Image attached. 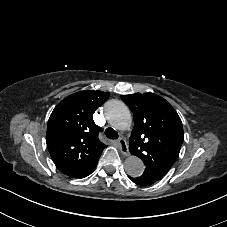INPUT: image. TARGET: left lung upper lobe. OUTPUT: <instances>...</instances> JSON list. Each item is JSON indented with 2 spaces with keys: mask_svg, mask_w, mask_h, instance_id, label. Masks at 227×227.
<instances>
[{
  "mask_svg": "<svg viewBox=\"0 0 227 227\" xmlns=\"http://www.w3.org/2000/svg\"><path fill=\"white\" fill-rule=\"evenodd\" d=\"M133 112L129 151L145 164V171L160 177L176 161L184 140L181 119L174 108L153 93L122 95Z\"/></svg>",
  "mask_w": 227,
  "mask_h": 227,
  "instance_id": "obj_1",
  "label": "left lung upper lobe"
}]
</instances>
